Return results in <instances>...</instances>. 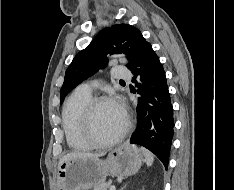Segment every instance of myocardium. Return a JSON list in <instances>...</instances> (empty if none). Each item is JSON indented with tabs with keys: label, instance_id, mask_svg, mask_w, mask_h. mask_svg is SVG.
<instances>
[{
	"label": "myocardium",
	"instance_id": "1",
	"mask_svg": "<svg viewBox=\"0 0 234 190\" xmlns=\"http://www.w3.org/2000/svg\"><path fill=\"white\" fill-rule=\"evenodd\" d=\"M107 102L114 103V100L109 96L92 97L83 109L82 131H83V134H84L85 138L87 139V141L92 146H95V147H108V146H112V145L118 143L119 141H121L125 137V135L127 134V132L130 129V120L127 118V116H124L125 117V124H124L123 128L121 129V131L119 133H117L115 136H113L109 139H106V140L98 139L95 136L94 131H93L94 113H95L96 109L101 104L107 103Z\"/></svg>",
	"mask_w": 234,
	"mask_h": 190
}]
</instances>
